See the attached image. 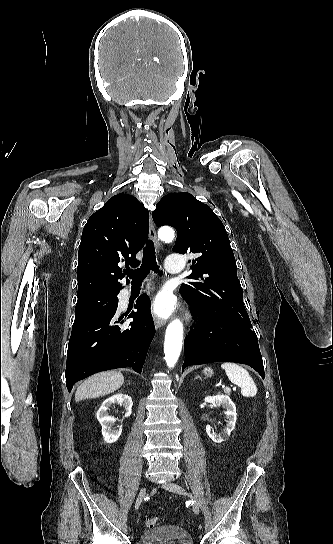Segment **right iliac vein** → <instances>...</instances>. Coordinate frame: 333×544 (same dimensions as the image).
Segmentation results:
<instances>
[{
    "label": "right iliac vein",
    "instance_id": "63e3f726",
    "mask_svg": "<svg viewBox=\"0 0 333 544\" xmlns=\"http://www.w3.org/2000/svg\"><path fill=\"white\" fill-rule=\"evenodd\" d=\"M145 494H146V488L143 487V488H141V490L139 491L138 497H137V499H136V502H135V510H137V509L140 507V505H141V503H142V501H143V499H144V497H145Z\"/></svg>",
    "mask_w": 333,
    "mask_h": 544
}]
</instances>
